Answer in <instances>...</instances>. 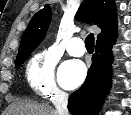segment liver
<instances>
[{"label": "liver", "mask_w": 131, "mask_h": 115, "mask_svg": "<svg viewBox=\"0 0 131 115\" xmlns=\"http://www.w3.org/2000/svg\"><path fill=\"white\" fill-rule=\"evenodd\" d=\"M3 115H57V112L47 104H38L25 100L11 104Z\"/></svg>", "instance_id": "obj_1"}]
</instances>
